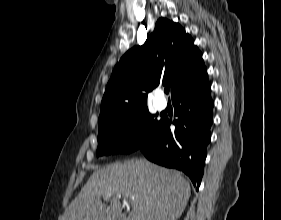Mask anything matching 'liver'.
<instances>
[{"label": "liver", "mask_w": 281, "mask_h": 220, "mask_svg": "<svg viewBox=\"0 0 281 220\" xmlns=\"http://www.w3.org/2000/svg\"><path fill=\"white\" fill-rule=\"evenodd\" d=\"M190 193L189 182L178 171L131 159L95 171L66 209L63 220H118L121 195L132 205L126 220H177ZM108 195L109 206L101 201Z\"/></svg>", "instance_id": "6515ba94"}]
</instances>
